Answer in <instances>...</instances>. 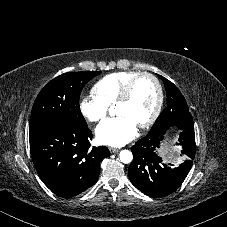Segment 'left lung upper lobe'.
Returning <instances> with one entry per match:
<instances>
[{
    "label": "left lung upper lobe",
    "mask_w": 227,
    "mask_h": 227,
    "mask_svg": "<svg viewBox=\"0 0 227 227\" xmlns=\"http://www.w3.org/2000/svg\"><path fill=\"white\" fill-rule=\"evenodd\" d=\"M163 81L167 93V107L157 118L145 138L166 133L171 127L185 129L194 126L191 113L184 96L168 79L158 75Z\"/></svg>",
    "instance_id": "1"
}]
</instances>
